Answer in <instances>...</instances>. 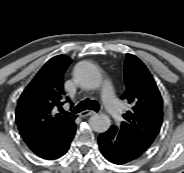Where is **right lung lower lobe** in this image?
I'll use <instances>...</instances> for the list:
<instances>
[{
	"label": "right lung lower lobe",
	"mask_w": 184,
	"mask_h": 173,
	"mask_svg": "<svg viewBox=\"0 0 184 173\" xmlns=\"http://www.w3.org/2000/svg\"><path fill=\"white\" fill-rule=\"evenodd\" d=\"M75 132L76 125L73 124L57 135L31 146L30 149L40 158L47 160L58 159L68 151Z\"/></svg>",
	"instance_id": "1"
}]
</instances>
